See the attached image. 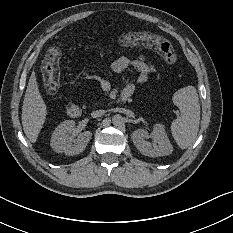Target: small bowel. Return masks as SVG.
<instances>
[{
	"instance_id": "obj_1",
	"label": "small bowel",
	"mask_w": 233,
	"mask_h": 233,
	"mask_svg": "<svg viewBox=\"0 0 233 233\" xmlns=\"http://www.w3.org/2000/svg\"><path fill=\"white\" fill-rule=\"evenodd\" d=\"M132 66L136 70L135 81L138 84H143L148 81L151 74L157 72V68L151 62H148L144 55H139L137 58L131 60L126 56H120L111 63V69L115 73H123L126 69ZM124 86L121 91V99L127 101L135 92V84L127 77H123ZM103 86L109 88V83L103 81Z\"/></svg>"
}]
</instances>
